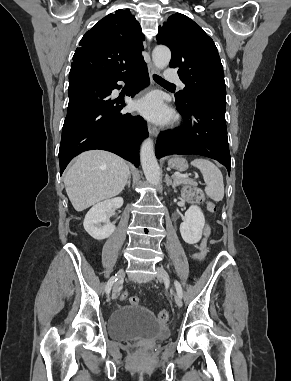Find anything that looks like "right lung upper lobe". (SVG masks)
I'll list each match as a JSON object with an SVG mask.
<instances>
[{
	"label": "right lung upper lobe",
	"mask_w": 291,
	"mask_h": 381,
	"mask_svg": "<svg viewBox=\"0 0 291 381\" xmlns=\"http://www.w3.org/2000/svg\"><path fill=\"white\" fill-rule=\"evenodd\" d=\"M144 34L129 10L119 9L100 20L81 39L69 74L102 79L122 77L144 62Z\"/></svg>",
	"instance_id": "obj_1"
}]
</instances>
